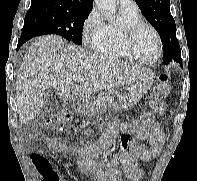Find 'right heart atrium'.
Wrapping results in <instances>:
<instances>
[{
	"instance_id": "right-heart-atrium-1",
	"label": "right heart atrium",
	"mask_w": 197,
	"mask_h": 181,
	"mask_svg": "<svg viewBox=\"0 0 197 181\" xmlns=\"http://www.w3.org/2000/svg\"><path fill=\"white\" fill-rule=\"evenodd\" d=\"M105 21L96 7H93L86 16L82 25V38L85 44L93 47L105 29Z\"/></svg>"
}]
</instances>
